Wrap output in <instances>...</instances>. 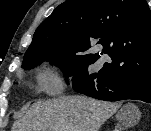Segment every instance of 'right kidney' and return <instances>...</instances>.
Returning a JSON list of instances; mask_svg holds the SVG:
<instances>
[{
	"mask_svg": "<svg viewBox=\"0 0 151 131\" xmlns=\"http://www.w3.org/2000/svg\"><path fill=\"white\" fill-rule=\"evenodd\" d=\"M135 110V109H134ZM136 110H138V109H136ZM139 112V111H138ZM140 113V112H139ZM133 114H134V111H133ZM131 118H135V115H134V117H131ZM131 118H128L126 121H125V124H131V122H130V120H131Z\"/></svg>",
	"mask_w": 151,
	"mask_h": 131,
	"instance_id": "right-kidney-1",
	"label": "right kidney"
}]
</instances>
